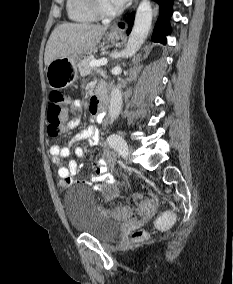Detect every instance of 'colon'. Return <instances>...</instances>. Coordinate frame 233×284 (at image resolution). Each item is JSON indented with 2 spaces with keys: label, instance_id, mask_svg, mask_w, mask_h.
<instances>
[{
  "label": "colon",
  "instance_id": "colon-1",
  "mask_svg": "<svg viewBox=\"0 0 233 284\" xmlns=\"http://www.w3.org/2000/svg\"><path fill=\"white\" fill-rule=\"evenodd\" d=\"M68 98L60 91H52L49 96V104L47 110V132L50 137H58L64 131L66 121V107ZM154 200L145 199L137 205V210L147 214L154 209ZM111 213L119 219H127L132 215L130 207H120ZM174 220V215L171 212H165L162 216L164 223H170ZM148 237V234L143 230H136L133 233L134 241H142Z\"/></svg>",
  "mask_w": 233,
  "mask_h": 284
}]
</instances>
